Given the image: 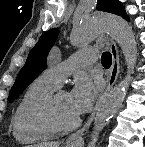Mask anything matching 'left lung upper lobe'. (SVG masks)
Returning <instances> with one entry per match:
<instances>
[{
  "label": "left lung upper lobe",
  "mask_w": 145,
  "mask_h": 147,
  "mask_svg": "<svg viewBox=\"0 0 145 147\" xmlns=\"http://www.w3.org/2000/svg\"><path fill=\"white\" fill-rule=\"evenodd\" d=\"M96 9L121 15L122 17L126 14L119 0H98ZM57 36L58 29L47 31L40 37L38 43L30 51L26 63L20 70L10 91L8 98L10 103L45 69L48 52L54 45Z\"/></svg>",
  "instance_id": "1"
}]
</instances>
